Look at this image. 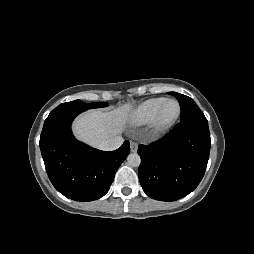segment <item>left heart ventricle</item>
Returning <instances> with one entry per match:
<instances>
[{"label":"left heart ventricle","instance_id":"b2bd125f","mask_svg":"<svg viewBox=\"0 0 254 254\" xmlns=\"http://www.w3.org/2000/svg\"><path fill=\"white\" fill-rule=\"evenodd\" d=\"M177 112V104L174 102H170L166 105L164 113H163V120L168 121L172 119Z\"/></svg>","mask_w":254,"mask_h":254}]
</instances>
